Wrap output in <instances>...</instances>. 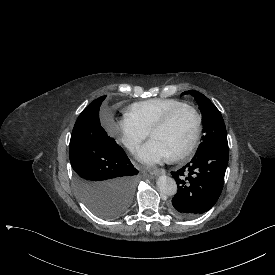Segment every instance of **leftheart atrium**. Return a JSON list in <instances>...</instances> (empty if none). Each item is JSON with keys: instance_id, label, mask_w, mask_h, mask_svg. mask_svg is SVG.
<instances>
[{"instance_id": "left-heart-atrium-1", "label": "left heart atrium", "mask_w": 275, "mask_h": 275, "mask_svg": "<svg viewBox=\"0 0 275 275\" xmlns=\"http://www.w3.org/2000/svg\"><path fill=\"white\" fill-rule=\"evenodd\" d=\"M171 158L169 152L156 140L151 139L138 154V159L146 164H157Z\"/></svg>"}]
</instances>
